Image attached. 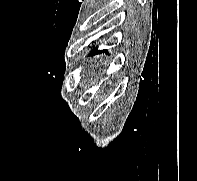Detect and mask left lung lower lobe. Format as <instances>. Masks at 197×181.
Listing matches in <instances>:
<instances>
[{"label":"left lung lower lobe","instance_id":"left-lung-lower-lobe-1","mask_svg":"<svg viewBox=\"0 0 197 181\" xmlns=\"http://www.w3.org/2000/svg\"><path fill=\"white\" fill-rule=\"evenodd\" d=\"M107 50H97L96 48H94V50L90 53L91 55L97 54V53H101V52H106Z\"/></svg>","mask_w":197,"mask_h":181}]
</instances>
